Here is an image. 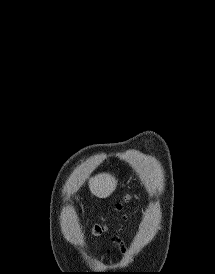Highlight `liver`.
<instances>
[{"mask_svg": "<svg viewBox=\"0 0 215 274\" xmlns=\"http://www.w3.org/2000/svg\"><path fill=\"white\" fill-rule=\"evenodd\" d=\"M117 185V180L110 174H98L89 181V188L93 195L98 198H107Z\"/></svg>", "mask_w": 215, "mask_h": 274, "instance_id": "obj_1", "label": "liver"}]
</instances>
